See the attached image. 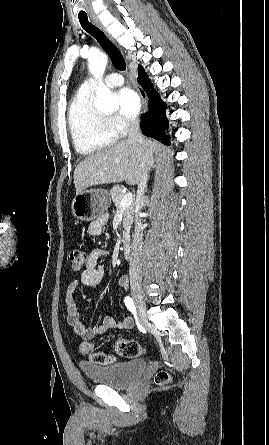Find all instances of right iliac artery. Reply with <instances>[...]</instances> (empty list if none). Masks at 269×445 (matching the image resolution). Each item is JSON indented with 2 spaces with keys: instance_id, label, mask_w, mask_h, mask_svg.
<instances>
[{
  "instance_id": "1",
  "label": "right iliac artery",
  "mask_w": 269,
  "mask_h": 445,
  "mask_svg": "<svg viewBox=\"0 0 269 445\" xmlns=\"http://www.w3.org/2000/svg\"><path fill=\"white\" fill-rule=\"evenodd\" d=\"M124 302H125L126 307H127L131 312L135 311L134 302H133V300H132L129 296L125 297Z\"/></svg>"
}]
</instances>
